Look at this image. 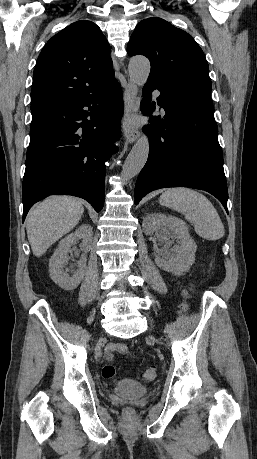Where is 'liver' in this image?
<instances>
[{"label": "liver", "mask_w": 257, "mask_h": 459, "mask_svg": "<svg viewBox=\"0 0 257 459\" xmlns=\"http://www.w3.org/2000/svg\"><path fill=\"white\" fill-rule=\"evenodd\" d=\"M83 212L81 202L69 196H53L33 208L26 220L33 254L41 257L53 243L78 224Z\"/></svg>", "instance_id": "obj_1"}]
</instances>
